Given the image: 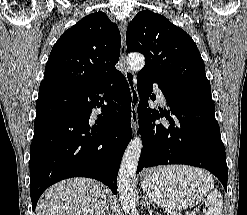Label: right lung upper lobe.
Returning <instances> with one entry per match:
<instances>
[{
	"label": "right lung upper lobe",
	"mask_w": 247,
	"mask_h": 215,
	"mask_svg": "<svg viewBox=\"0 0 247 215\" xmlns=\"http://www.w3.org/2000/svg\"><path fill=\"white\" fill-rule=\"evenodd\" d=\"M121 36L103 12L81 19L53 46L43 81L71 87L91 86L116 70Z\"/></svg>",
	"instance_id": "obj_1"
}]
</instances>
